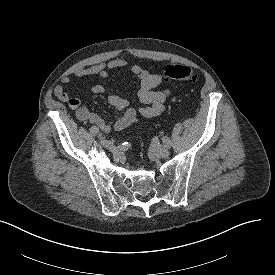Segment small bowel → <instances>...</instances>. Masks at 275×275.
Segmentation results:
<instances>
[{
    "mask_svg": "<svg viewBox=\"0 0 275 275\" xmlns=\"http://www.w3.org/2000/svg\"><path fill=\"white\" fill-rule=\"evenodd\" d=\"M127 64V61L123 58H114L90 67L77 68L72 74L78 78L98 76L106 79L110 71L124 68ZM130 72L139 80L138 98L141 106L135 109L129 106L128 101L123 97L114 93L110 94L108 96L109 104L118 112L122 113L118 119L112 122L105 121L84 106L78 98L70 96L63 85H57L54 88V95L76 112L78 120L92 124L104 132H109L112 128L117 131H122L142 119H150L162 114L166 101L173 94L171 88L155 90V88L163 82L161 74L152 73L139 65H132ZM71 82L72 78L70 76H63L61 78L62 84H70ZM90 92L92 94H103L106 92V88L101 84H97L91 88Z\"/></svg>",
    "mask_w": 275,
    "mask_h": 275,
    "instance_id": "obj_1",
    "label": "small bowel"
}]
</instances>
